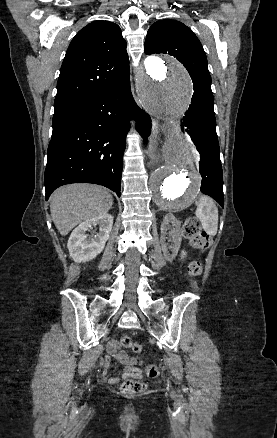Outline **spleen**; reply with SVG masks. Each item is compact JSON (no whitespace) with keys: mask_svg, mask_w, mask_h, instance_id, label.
I'll return each mask as SVG.
<instances>
[{"mask_svg":"<svg viewBox=\"0 0 277 438\" xmlns=\"http://www.w3.org/2000/svg\"><path fill=\"white\" fill-rule=\"evenodd\" d=\"M195 214L197 218H199L203 230H205L209 236H216L218 210L214 200H212V198H207V196H202L199 200V206H197Z\"/></svg>","mask_w":277,"mask_h":438,"instance_id":"3e777b00","label":"spleen"}]
</instances>
